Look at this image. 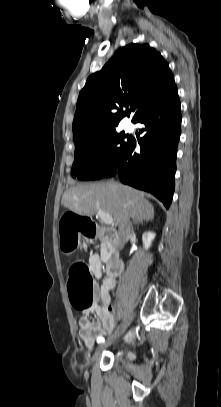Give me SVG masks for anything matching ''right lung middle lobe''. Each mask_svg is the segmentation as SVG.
<instances>
[{
    "label": "right lung middle lobe",
    "instance_id": "1",
    "mask_svg": "<svg viewBox=\"0 0 221 407\" xmlns=\"http://www.w3.org/2000/svg\"><path fill=\"white\" fill-rule=\"evenodd\" d=\"M129 142L130 137L111 129L76 143L72 176L80 180L101 179L119 162Z\"/></svg>",
    "mask_w": 221,
    "mask_h": 407
}]
</instances>
